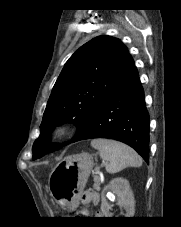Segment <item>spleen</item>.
Returning <instances> with one entry per match:
<instances>
[{"label":"spleen","instance_id":"3e777b00","mask_svg":"<svg viewBox=\"0 0 181 227\" xmlns=\"http://www.w3.org/2000/svg\"><path fill=\"white\" fill-rule=\"evenodd\" d=\"M91 146L99 151L102 160L107 161L106 171L114 174L127 167H140L142 158L129 146L108 139H94Z\"/></svg>","mask_w":181,"mask_h":227}]
</instances>
